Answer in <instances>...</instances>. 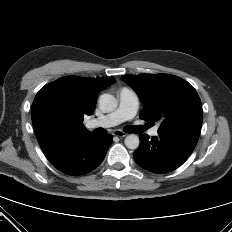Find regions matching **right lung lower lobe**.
I'll return each mask as SVG.
<instances>
[{"label":"right lung lower lobe","instance_id":"1","mask_svg":"<svg viewBox=\"0 0 232 232\" xmlns=\"http://www.w3.org/2000/svg\"><path fill=\"white\" fill-rule=\"evenodd\" d=\"M112 140L110 134L97 136L90 133L77 138L54 141L42 148V151L63 173L83 175L100 165Z\"/></svg>","mask_w":232,"mask_h":232}]
</instances>
